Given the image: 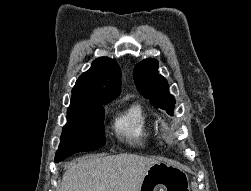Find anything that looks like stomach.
<instances>
[{
	"instance_id": "0dacf381",
	"label": "stomach",
	"mask_w": 251,
	"mask_h": 191,
	"mask_svg": "<svg viewBox=\"0 0 251 191\" xmlns=\"http://www.w3.org/2000/svg\"><path fill=\"white\" fill-rule=\"evenodd\" d=\"M188 175L164 161H157L148 169L140 191H189Z\"/></svg>"
}]
</instances>
